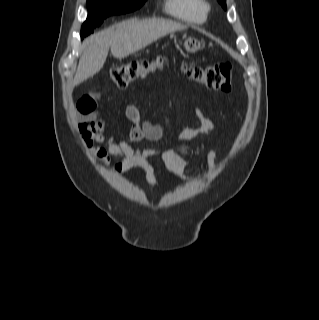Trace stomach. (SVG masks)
Segmentation results:
<instances>
[{"mask_svg": "<svg viewBox=\"0 0 319 320\" xmlns=\"http://www.w3.org/2000/svg\"><path fill=\"white\" fill-rule=\"evenodd\" d=\"M184 47L186 51L193 53L200 50L202 45L200 41L190 37L184 41Z\"/></svg>", "mask_w": 319, "mask_h": 320, "instance_id": "0dacf381", "label": "stomach"}]
</instances>
